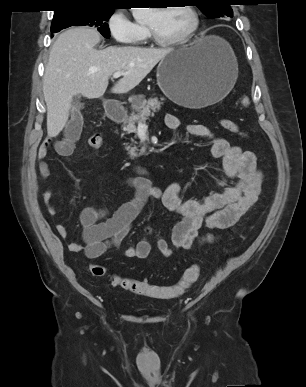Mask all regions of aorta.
<instances>
[{
    "mask_svg": "<svg viewBox=\"0 0 306 387\" xmlns=\"http://www.w3.org/2000/svg\"><path fill=\"white\" fill-rule=\"evenodd\" d=\"M136 21H141L150 14V8H131Z\"/></svg>",
    "mask_w": 306,
    "mask_h": 387,
    "instance_id": "obj_1",
    "label": "aorta"
}]
</instances>
